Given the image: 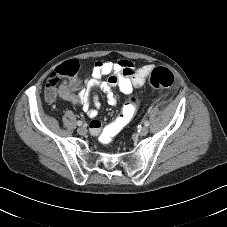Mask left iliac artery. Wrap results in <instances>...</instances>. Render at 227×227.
<instances>
[{"instance_id": "left-iliac-artery-1", "label": "left iliac artery", "mask_w": 227, "mask_h": 227, "mask_svg": "<svg viewBox=\"0 0 227 227\" xmlns=\"http://www.w3.org/2000/svg\"><path fill=\"white\" fill-rule=\"evenodd\" d=\"M149 122L148 121H146L145 123H144V125L146 126V127H148L149 126Z\"/></svg>"}]
</instances>
